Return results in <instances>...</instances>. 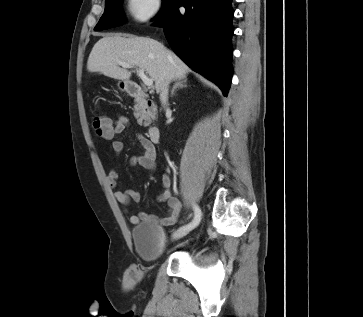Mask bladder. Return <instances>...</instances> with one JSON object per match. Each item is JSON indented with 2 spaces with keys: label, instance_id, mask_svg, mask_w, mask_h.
Here are the masks:
<instances>
[{
  "label": "bladder",
  "instance_id": "obj_1",
  "mask_svg": "<svg viewBox=\"0 0 363 317\" xmlns=\"http://www.w3.org/2000/svg\"><path fill=\"white\" fill-rule=\"evenodd\" d=\"M136 251L145 262H155L164 254L163 228L152 221H144L135 225L131 232Z\"/></svg>",
  "mask_w": 363,
  "mask_h": 317
}]
</instances>
